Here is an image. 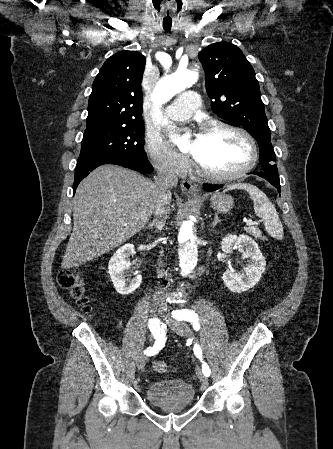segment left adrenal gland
I'll list each match as a JSON object with an SVG mask.
<instances>
[{
	"mask_svg": "<svg viewBox=\"0 0 333 449\" xmlns=\"http://www.w3.org/2000/svg\"><path fill=\"white\" fill-rule=\"evenodd\" d=\"M219 222H220V219L218 218V215L215 214L214 220L212 222V228H214Z\"/></svg>",
	"mask_w": 333,
	"mask_h": 449,
	"instance_id": "1",
	"label": "left adrenal gland"
}]
</instances>
